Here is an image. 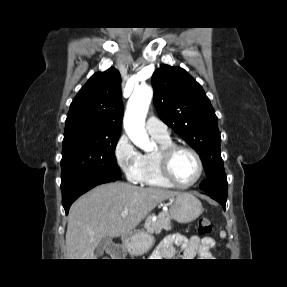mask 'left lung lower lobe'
I'll list each match as a JSON object with an SVG mask.
<instances>
[{
    "label": "left lung lower lobe",
    "instance_id": "obj_1",
    "mask_svg": "<svg viewBox=\"0 0 287 287\" xmlns=\"http://www.w3.org/2000/svg\"><path fill=\"white\" fill-rule=\"evenodd\" d=\"M206 194L208 196H210L211 198H213L214 200L218 201L223 206V208L225 209L227 197H224V196L218 195V194L207 193V192H206Z\"/></svg>",
    "mask_w": 287,
    "mask_h": 287
}]
</instances>
